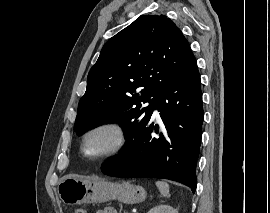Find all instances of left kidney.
<instances>
[{
  "instance_id": "1",
  "label": "left kidney",
  "mask_w": 270,
  "mask_h": 213,
  "mask_svg": "<svg viewBox=\"0 0 270 213\" xmlns=\"http://www.w3.org/2000/svg\"><path fill=\"white\" fill-rule=\"evenodd\" d=\"M147 213H178V211L169 205H158L150 209Z\"/></svg>"
}]
</instances>
